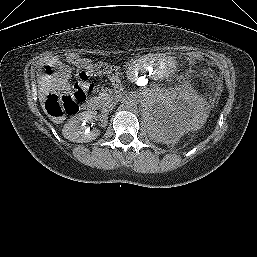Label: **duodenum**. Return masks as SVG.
Masks as SVG:
<instances>
[{"instance_id":"1","label":"duodenum","mask_w":257,"mask_h":257,"mask_svg":"<svg viewBox=\"0 0 257 257\" xmlns=\"http://www.w3.org/2000/svg\"><path fill=\"white\" fill-rule=\"evenodd\" d=\"M124 99V96L121 92H117L114 96H113V100L116 102H120ZM84 109L86 112H93L95 110V103L93 101L87 102L84 105Z\"/></svg>"}]
</instances>
